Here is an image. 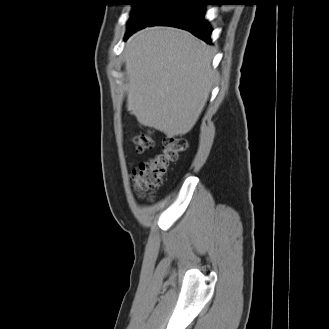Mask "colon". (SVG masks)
Segmentation results:
<instances>
[{
  "label": "colon",
  "mask_w": 329,
  "mask_h": 329,
  "mask_svg": "<svg viewBox=\"0 0 329 329\" xmlns=\"http://www.w3.org/2000/svg\"><path fill=\"white\" fill-rule=\"evenodd\" d=\"M135 150L142 153L154 147L151 131H143L133 137ZM187 142L180 136H166L163 140L162 150L141 163L132 174L133 190L141 197H148V193L158 189L167 175L171 164L176 163L184 153Z\"/></svg>",
  "instance_id": "colon-1"
}]
</instances>
